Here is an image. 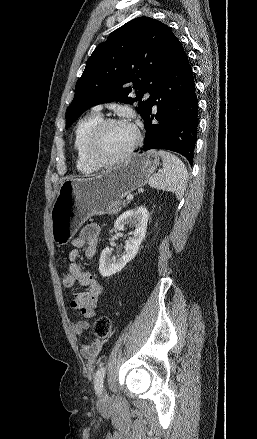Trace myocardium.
Here are the masks:
<instances>
[{
    "label": "myocardium",
    "mask_w": 257,
    "mask_h": 439,
    "mask_svg": "<svg viewBox=\"0 0 257 439\" xmlns=\"http://www.w3.org/2000/svg\"><path fill=\"white\" fill-rule=\"evenodd\" d=\"M112 125H128L133 128L135 132V138L133 142L119 155L116 157L104 160L101 159L96 153V145L102 135V133ZM142 142V134L139 127L129 119L123 118H107L102 119L90 132L87 140H86V154L90 160V162L96 167H107L112 164L121 162L129 157L134 150L141 144Z\"/></svg>",
    "instance_id": "1"
}]
</instances>
